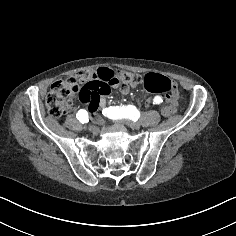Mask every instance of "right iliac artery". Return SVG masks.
Wrapping results in <instances>:
<instances>
[{"label":"right iliac artery","mask_w":236,"mask_h":236,"mask_svg":"<svg viewBox=\"0 0 236 236\" xmlns=\"http://www.w3.org/2000/svg\"><path fill=\"white\" fill-rule=\"evenodd\" d=\"M76 117L82 124L87 123L89 121L88 113L84 109H80L76 114Z\"/></svg>","instance_id":"obj_1"}]
</instances>
